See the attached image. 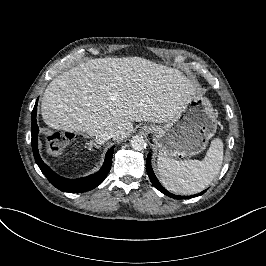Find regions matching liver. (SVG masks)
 I'll return each instance as SVG.
<instances>
[{
  "label": "liver",
  "mask_w": 266,
  "mask_h": 266,
  "mask_svg": "<svg viewBox=\"0 0 266 266\" xmlns=\"http://www.w3.org/2000/svg\"><path fill=\"white\" fill-rule=\"evenodd\" d=\"M195 85L176 69L139 57L91 60L54 78L41 100L53 129L113 132L125 139L132 122L167 123L193 98Z\"/></svg>",
  "instance_id": "1"
}]
</instances>
